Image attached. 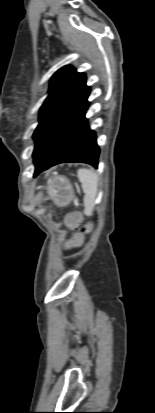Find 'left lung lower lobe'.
<instances>
[{
    "label": "left lung lower lobe",
    "mask_w": 155,
    "mask_h": 413,
    "mask_svg": "<svg viewBox=\"0 0 155 413\" xmlns=\"http://www.w3.org/2000/svg\"><path fill=\"white\" fill-rule=\"evenodd\" d=\"M86 111L87 109L75 127L60 136L59 150L49 160L35 168L34 177L42 171L64 162H82L97 167L99 147L96 143V135L89 128L85 118Z\"/></svg>",
    "instance_id": "obj_1"
}]
</instances>
